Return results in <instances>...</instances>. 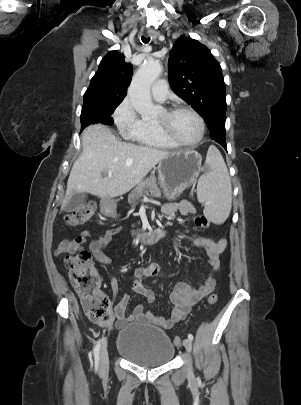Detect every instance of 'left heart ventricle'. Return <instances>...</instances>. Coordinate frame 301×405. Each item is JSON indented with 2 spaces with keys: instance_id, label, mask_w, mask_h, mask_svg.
I'll list each match as a JSON object with an SVG mask.
<instances>
[{
  "instance_id": "obj_1",
  "label": "left heart ventricle",
  "mask_w": 301,
  "mask_h": 405,
  "mask_svg": "<svg viewBox=\"0 0 301 405\" xmlns=\"http://www.w3.org/2000/svg\"><path fill=\"white\" fill-rule=\"evenodd\" d=\"M164 117V112H162L156 121H162ZM168 126L170 131L184 142H192L199 135V123L195 116L187 111H181L171 116Z\"/></svg>"
}]
</instances>
